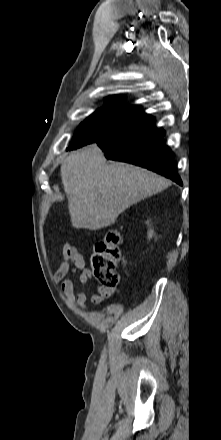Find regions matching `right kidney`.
I'll list each match as a JSON object with an SVG mask.
<instances>
[{
  "label": "right kidney",
  "mask_w": 221,
  "mask_h": 440,
  "mask_svg": "<svg viewBox=\"0 0 221 440\" xmlns=\"http://www.w3.org/2000/svg\"><path fill=\"white\" fill-rule=\"evenodd\" d=\"M152 235H153V231H150V232L148 233V237L151 238Z\"/></svg>",
  "instance_id": "right-kidney-1"
}]
</instances>
